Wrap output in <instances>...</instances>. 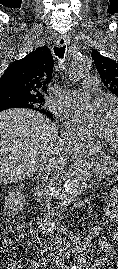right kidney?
I'll list each match as a JSON object with an SVG mask.
<instances>
[{
    "label": "right kidney",
    "instance_id": "1",
    "mask_svg": "<svg viewBox=\"0 0 118 269\" xmlns=\"http://www.w3.org/2000/svg\"><path fill=\"white\" fill-rule=\"evenodd\" d=\"M4 203L5 212L7 210L11 211V213H9L12 216L16 215L19 211H22L26 204L23 186H15L14 188L9 189L8 196L5 197Z\"/></svg>",
    "mask_w": 118,
    "mask_h": 269
}]
</instances>
